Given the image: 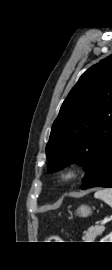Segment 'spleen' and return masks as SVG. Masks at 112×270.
I'll list each match as a JSON object with an SVG mask.
<instances>
[{
  "label": "spleen",
  "instance_id": "1",
  "mask_svg": "<svg viewBox=\"0 0 112 270\" xmlns=\"http://www.w3.org/2000/svg\"><path fill=\"white\" fill-rule=\"evenodd\" d=\"M95 198L103 200L112 208V188L98 190L94 194Z\"/></svg>",
  "mask_w": 112,
  "mask_h": 270
}]
</instances>
